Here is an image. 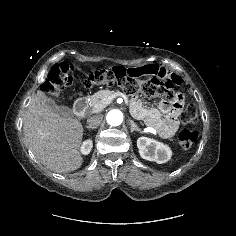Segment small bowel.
<instances>
[{
  "label": "small bowel",
  "instance_id": "c3829d8e",
  "mask_svg": "<svg viewBox=\"0 0 236 236\" xmlns=\"http://www.w3.org/2000/svg\"><path fill=\"white\" fill-rule=\"evenodd\" d=\"M155 75L162 78L173 80L175 84H180L181 80L171 74L165 68L147 65L129 67L128 65H120L115 71L117 80H133L148 81ZM182 107V100L176 103H162L160 110L146 108L141 102L134 104V113L137 117L144 120L148 125L155 128L164 138L174 136L178 129L177 116Z\"/></svg>",
  "mask_w": 236,
  "mask_h": 236
}]
</instances>
